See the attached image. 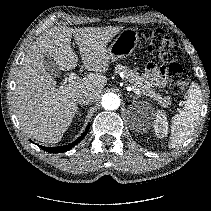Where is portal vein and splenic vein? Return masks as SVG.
<instances>
[{
	"label": "portal vein and splenic vein",
	"mask_w": 211,
	"mask_h": 211,
	"mask_svg": "<svg viewBox=\"0 0 211 211\" xmlns=\"http://www.w3.org/2000/svg\"><path fill=\"white\" fill-rule=\"evenodd\" d=\"M82 71H83L82 69L79 70V72H82ZM78 79H79V76H77L76 73H71V74L69 75V77H68L69 83H74V82H76ZM128 90L134 92V93L137 94V95H140L139 89L135 88L134 86L128 87Z\"/></svg>",
	"instance_id": "1"
}]
</instances>
